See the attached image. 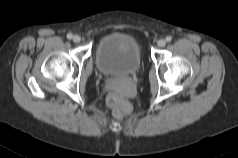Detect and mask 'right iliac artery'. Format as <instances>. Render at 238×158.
<instances>
[{"instance_id":"obj_1","label":"right iliac artery","mask_w":238,"mask_h":158,"mask_svg":"<svg viewBox=\"0 0 238 158\" xmlns=\"http://www.w3.org/2000/svg\"><path fill=\"white\" fill-rule=\"evenodd\" d=\"M72 37H73V35H72L71 33H68V34H67V38H68V39H71Z\"/></svg>"}]
</instances>
